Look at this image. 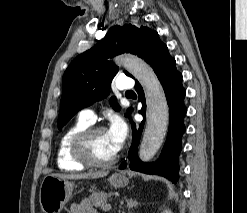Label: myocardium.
<instances>
[{
    "instance_id": "myocardium-1",
    "label": "myocardium",
    "mask_w": 247,
    "mask_h": 213,
    "mask_svg": "<svg viewBox=\"0 0 247 213\" xmlns=\"http://www.w3.org/2000/svg\"><path fill=\"white\" fill-rule=\"evenodd\" d=\"M106 131L103 126H89L78 132L71 143V152L74 159L85 167L99 168L108 167L116 163L118 154L116 153L111 159L99 161L92 158L89 153L91 139L99 132Z\"/></svg>"
}]
</instances>
